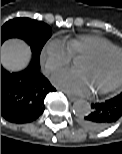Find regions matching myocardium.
<instances>
[{"label": "myocardium", "instance_id": "1", "mask_svg": "<svg viewBox=\"0 0 122 154\" xmlns=\"http://www.w3.org/2000/svg\"><path fill=\"white\" fill-rule=\"evenodd\" d=\"M113 52H119V53L122 54V48L116 47V46L108 47V48L99 50L97 52L90 53V54L86 55L85 57L88 58V59H91V60L98 61V60L103 59L105 56H107L108 54L113 53ZM121 86H122V73L119 76V78L113 84H111L110 86H108V87H106L102 90L95 91V93L97 95H104V94L110 93V92L118 89Z\"/></svg>", "mask_w": 122, "mask_h": 154}]
</instances>
